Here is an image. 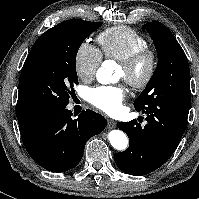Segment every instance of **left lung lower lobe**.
I'll return each instance as SVG.
<instances>
[{
	"mask_svg": "<svg viewBox=\"0 0 199 199\" xmlns=\"http://www.w3.org/2000/svg\"><path fill=\"white\" fill-rule=\"evenodd\" d=\"M188 106L161 103L147 111L145 126L132 120L118 122L130 140L129 148L114 155L125 173L142 176L161 167L176 150L187 126Z\"/></svg>",
	"mask_w": 199,
	"mask_h": 199,
	"instance_id": "0a47b994",
	"label": "left lung lower lobe"
}]
</instances>
